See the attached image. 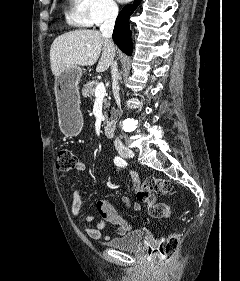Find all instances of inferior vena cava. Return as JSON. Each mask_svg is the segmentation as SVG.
<instances>
[{"instance_id": "inferior-vena-cava-1", "label": "inferior vena cava", "mask_w": 240, "mask_h": 281, "mask_svg": "<svg viewBox=\"0 0 240 281\" xmlns=\"http://www.w3.org/2000/svg\"><path fill=\"white\" fill-rule=\"evenodd\" d=\"M118 7L116 5H110L107 14L105 16L104 23L100 26V31L102 35L105 37V39L112 43V33L115 25V21L118 15ZM111 76H112V89H113V95L116 100V103L118 106H120V96L118 92V80H119V73H118V66L115 61L111 63ZM114 119L117 120L118 117L121 116V113L119 110H114L113 112ZM115 144H120L121 141L118 137H116Z\"/></svg>"}]
</instances>
